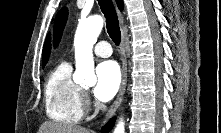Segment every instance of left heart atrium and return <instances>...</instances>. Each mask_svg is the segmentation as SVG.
Listing matches in <instances>:
<instances>
[{
  "mask_svg": "<svg viewBox=\"0 0 221 133\" xmlns=\"http://www.w3.org/2000/svg\"><path fill=\"white\" fill-rule=\"evenodd\" d=\"M121 81L120 70L116 62L104 61L96 67V85L94 95L101 101H108L117 93Z\"/></svg>",
  "mask_w": 221,
  "mask_h": 133,
  "instance_id": "left-heart-atrium-1",
  "label": "left heart atrium"
}]
</instances>
